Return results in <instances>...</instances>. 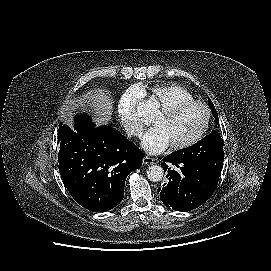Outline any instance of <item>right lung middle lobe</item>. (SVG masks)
<instances>
[{
  "instance_id": "obj_1",
  "label": "right lung middle lobe",
  "mask_w": 271,
  "mask_h": 271,
  "mask_svg": "<svg viewBox=\"0 0 271 271\" xmlns=\"http://www.w3.org/2000/svg\"><path fill=\"white\" fill-rule=\"evenodd\" d=\"M77 118H89V117L87 116V114H81L78 115Z\"/></svg>"
}]
</instances>
